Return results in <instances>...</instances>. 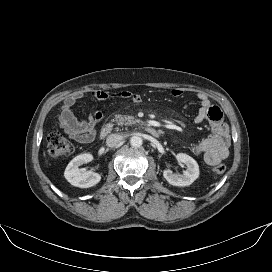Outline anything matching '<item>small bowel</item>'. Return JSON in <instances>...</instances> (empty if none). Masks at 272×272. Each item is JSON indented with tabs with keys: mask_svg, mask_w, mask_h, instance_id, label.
<instances>
[{
	"mask_svg": "<svg viewBox=\"0 0 272 272\" xmlns=\"http://www.w3.org/2000/svg\"><path fill=\"white\" fill-rule=\"evenodd\" d=\"M171 93L174 97H180L184 92L176 88ZM92 97L97 101H104L113 97L126 98L133 102L140 101L138 93L127 90L118 93L96 90L92 92ZM81 98H83V93L73 94L65 99L59 121L61 128L70 138L78 143L87 144L92 142L96 136V127L102 119V112L97 110L89 113L85 119L78 118L73 112V107ZM197 98L200 102V108L195 117V123L200 124L206 121L209 123L211 131L205 139L194 145L193 151L196 154L203 155L207 165L214 166L229 155V129L223 122L222 111L218 106L213 105L203 93H198Z\"/></svg>",
	"mask_w": 272,
	"mask_h": 272,
	"instance_id": "1",
	"label": "small bowel"
}]
</instances>
